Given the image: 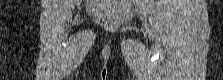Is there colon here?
<instances>
[{
	"label": "colon",
	"instance_id": "5ec220e1",
	"mask_svg": "<svg viewBox=\"0 0 223 80\" xmlns=\"http://www.w3.org/2000/svg\"><path fill=\"white\" fill-rule=\"evenodd\" d=\"M102 25L105 26V27H112L113 24L109 21H106V20H102Z\"/></svg>",
	"mask_w": 223,
	"mask_h": 80
}]
</instances>
